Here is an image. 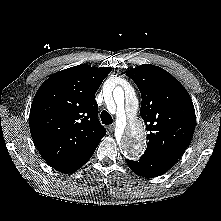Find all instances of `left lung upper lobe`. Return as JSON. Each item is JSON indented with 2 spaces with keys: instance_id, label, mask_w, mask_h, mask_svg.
I'll list each match as a JSON object with an SVG mask.
<instances>
[{
  "instance_id": "obj_1",
  "label": "left lung upper lobe",
  "mask_w": 221,
  "mask_h": 221,
  "mask_svg": "<svg viewBox=\"0 0 221 221\" xmlns=\"http://www.w3.org/2000/svg\"><path fill=\"white\" fill-rule=\"evenodd\" d=\"M142 97L140 115L149 142L144 154L174 164L189 146L196 124L190 95L164 69L144 64L126 73Z\"/></svg>"
}]
</instances>
